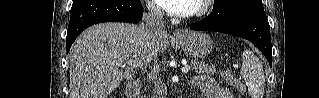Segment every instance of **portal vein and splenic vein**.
<instances>
[{"mask_svg": "<svg viewBox=\"0 0 319 98\" xmlns=\"http://www.w3.org/2000/svg\"><path fill=\"white\" fill-rule=\"evenodd\" d=\"M131 63H132V65H134V66H139V65H141V63H140L139 61H137V60H133ZM189 70H190V66H189V65H184V66L182 67V72H183L184 74H187V73L189 72Z\"/></svg>", "mask_w": 319, "mask_h": 98, "instance_id": "18ae733b", "label": "portal vein and splenic vein"}]
</instances>
